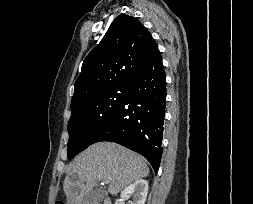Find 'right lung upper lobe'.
<instances>
[{"label": "right lung upper lobe", "instance_id": "1", "mask_svg": "<svg viewBox=\"0 0 253 204\" xmlns=\"http://www.w3.org/2000/svg\"><path fill=\"white\" fill-rule=\"evenodd\" d=\"M157 51L151 34L136 18L119 15L85 58L71 107L109 88L129 85Z\"/></svg>", "mask_w": 253, "mask_h": 204}]
</instances>
